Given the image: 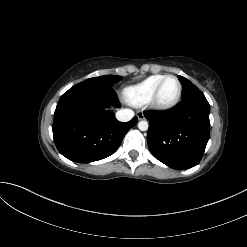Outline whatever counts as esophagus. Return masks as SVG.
I'll return each mask as SVG.
<instances>
[{"label":"esophagus","instance_id":"34e87169","mask_svg":"<svg viewBox=\"0 0 247 247\" xmlns=\"http://www.w3.org/2000/svg\"><path fill=\"white\" fill-rule=\"evenodd\" d=\"M136 116H137V118H138L139 120H143V119L145 118L143 112H141V111H138L137 114H136Z\"/></svg>","mask_w":247,"mask_h":247}]
</instances>
